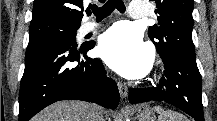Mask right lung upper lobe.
I'll list each match as a JSON object with an SVG mask.
<instances>
[{"mask_svg": "<svg viewBox=\"0 0 217 121\" xmlns=\"http://www.w3.org/2000/svg\"><path fill=\"white\" fill-rule=\"evenodd\" d=\"M84 0H34L31 22L56 19L72 24H80ZM89 9L87 8L86 11Z\"/></svg>", "mask_w": 217, "mask_h": 121, "instance_id": "right-lung-upper-lobe-1", "label": "right lung upper lobe"}]
</instances>
